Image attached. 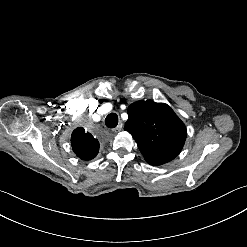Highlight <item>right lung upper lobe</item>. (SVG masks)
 <instances>
[{
    "instance_id": "obj_1",
    "label": "right lung upper lobe",
    "mask_w": 247,
    "mask_h": 247,
    "mask_svg": "<svg viewBox=\"0 0 247 247\" xmlns=\"http://www.w3.org/2000/svg\"><path fill=\"white\" fill-rule=\"evenodd\" d=\"M71 144L75 154L83 160L93 159L99 151V141L83 128L73 131Z\"/></svg>"
}]
</instances>
